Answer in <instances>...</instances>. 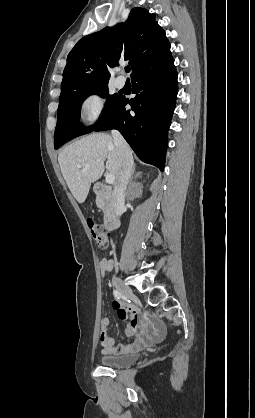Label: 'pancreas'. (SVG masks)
Here are the masks:
<instances>
[{
	"label": "pancreas",
	"instance_id": "obj_1",
	"mask_svg": "<svg viewBox=\"0 0 255 418\" xmlns=\"http://www.w3.org/2000/svg\"><path fill=\"white\" fill-rule=\"evenodd\" d=\"M96 204L101 210L105 211L106 203H105V199L103 197L98 196L97 199H96Z\"/></svg>",
	"mask_w": 255,
	"mask_h": 418
}]
</instances>
